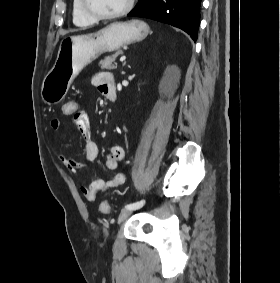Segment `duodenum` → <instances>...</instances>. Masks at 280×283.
I'll return each instance as SVG.
<instances>
[{
	"instance_id": "duodenum-1",
	"label": "duodenum",
	"mask_w": 280,
	"mask_h": 283,
	"mask_svg": "<svg viewBox=\"0 0 280 283\" xmlns=\"http://www.w3.org/2000/svg\"><path fill=\"white\" fill-rule=\"evenodd\" d=\"M107 97L111 100V101H115L116 100V87H115V83L112 82L109 85V90L107 93Z\"/></svg>"
}]
</instances>
